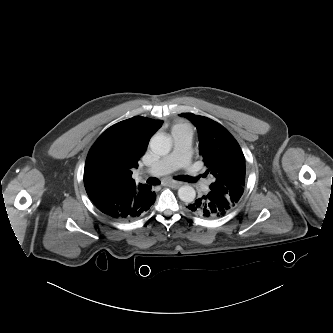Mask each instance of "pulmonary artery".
<instances>
[{"mask_svg":"<svg viewBox=\"0 0 333 333\" xmlns=\"http://www.w3.org/2000/svg\"><path fill=\"white\" fill-rule=\"evenodd\" d=\"M192 135V130L188 127L174 129L172 152L153 164L146 172L153 176H160L183 167L190 177H196L198 174L191 164Z\"/></svg>","mask_w":333,"mask_h":333,"instance_id":"obj_1","label":"pulmonary artery"}]
</instances>
